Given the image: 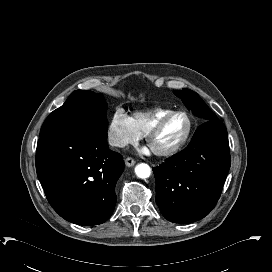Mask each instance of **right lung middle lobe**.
Instances as JSON below:
<instances>
[{"label":"right lung middle lobe","instance_id":"obj_1","mask_svg":"<svg viewBox=\"0 0 272 272\" xmlns=\"http://www.w3.org/2000/svg\"><path fill=\"white\" fill-rule=\"evenodd\" d=\"M106 108L107 103L101 94L76 90L47 117L40 136L53 130L80 125H97L107 131Z\"/></svg>","mask_w":272,"mask_h":272}]
</instances>
